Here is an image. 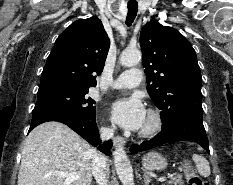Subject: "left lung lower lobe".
Returning a JSON list of instances; mask_svg holds the SVG:
<instances>
[{
	"label": "left lung lower lobe",
	"mask_w": 233,
	"mask_h": 185,
	"mask_svg": "<svg viewBox=\"0 0 233 185\" xmlns=\"http://www.w3.org/2000/svg\"><path fill=\"white\" fill-rule=\"evenodd\" d=\"M203 109L201 104H194L183 112L173 123L162 128L152 140L140 145H133L131 152L149 150L158 145L176 141H191L200 144L208 153V138L202 122Z\"/></svg>",
	"instance_id": "0a47b994"
}]
</instances>
